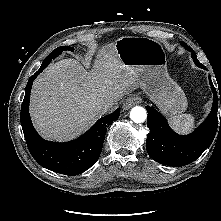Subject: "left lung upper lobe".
<instances>
[{
  "label": "left lung upper lobe",
  "mask_w": 221,
  "mask_h": 221,
  "mask_svg": "<svg viewBox=\"0 0 221 221\" xmlns=\"http://www.w3.org/2000/svg\"><path fill=\"white\" fill-rule=\"evenodd\" d=\"M184 48H186L189 52H191V56H192V59L193 61L196 63H199L197 57H196V54L195 52L193 51V49H191L187 44H185L184 42H180Z\"/></svg>",
  "instance_id": "obj_1"
}]
</instances>
